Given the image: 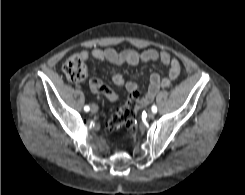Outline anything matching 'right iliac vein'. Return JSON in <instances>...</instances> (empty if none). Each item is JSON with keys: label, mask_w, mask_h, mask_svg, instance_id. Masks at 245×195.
I'll use <instances>...</instances> for the list:
<instances>
[{"label": "right iliac vein", "mask_w": 245, "mask_h": 195, "mask_svg": "<svg viewBox=\"0 0 245 195\" xmlns=\"http://www.w3.org/2000/svg\"><path fill=\"white\" fill-rule=\"evenodd\" d=\"M98 111V106L96 104H92L91 106V112L96 113Z\"/></svg>", "instance_id": "1"}]
</instances>
